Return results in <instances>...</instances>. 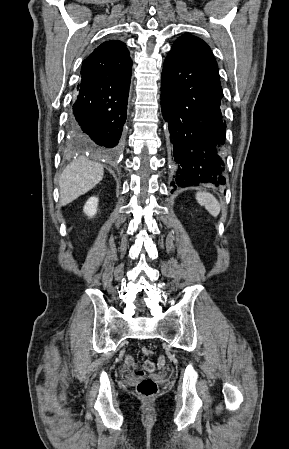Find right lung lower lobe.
<instances>
[{"mask_svg":"<svg viewBox=\"0 0 289 449\" xmlns=\"http://www.w3.org/2000/svg\"><path fill=\"white\" fill-rule=\"evenodd\" d=\"M131 64L108 75L82 76L70 117V129L96 149L113 154L126 120Z\"/></svg>","mask_w":289,"mask_h":449,"instance_id":"98d812e1","label":"right lung lower lobe"}]
</instances>
